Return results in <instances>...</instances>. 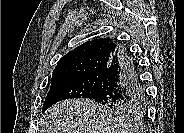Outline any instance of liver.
Returning a JSON list of instances; mask_svg holds the SVG:
<instances>
[{"label":"liver","instance_id":"obj_1","mask_svg":"<svg viewBox=\"0 0 184 133\" xmlns=\"http://www.w3.org/2000/svg\"><path fill=\"white\" fill-rule=\"evenodd\" d=\"M43 133H127L132 131L103 111L90 99H68L47 110L43 116Z\"/></svg>","mask_w":184,"mask_h":133}]
</instances>
